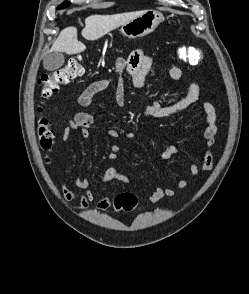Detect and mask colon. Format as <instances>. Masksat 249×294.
I'll return each mask as SVG.
<instances>
[{
  "label": "colon",
  "mask_w": 249,
  "mask_h": 294,
  "mask_svg": "<svg viewBox=\"0 0 249 294\" xmlns=\"http://www.w3.org/2000/svg\"><path fill=\"white\" fill-rule=\"evenodd\" d=\"M178 51L180 59L191 65L203 62L205 57L204 50L200 47L180 46ZM83 73L81 57L71 58L63 67L40 76L38 83L41 87V96L43 98L50 97L58 91L61 85L81 77ZM38 136L41 148L44 150L51 149L55 139V131L50 128L49 121L45 116H40L38 119ZM136 205L137 198L131 193L117 195L113 204L117 211L126 212L133 210Z\"/></svg>",
  "instance_id": "5ec220e1"
}]
</instances>
